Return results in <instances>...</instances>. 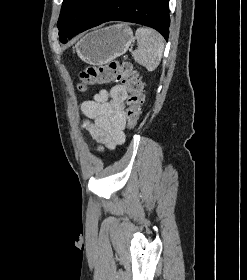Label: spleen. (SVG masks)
Instances as JSON below:
<instances>
[{
  "label": "spleen",
  "instance_id": "spleen-1",
  "mask_svg": "<svg viewBox=\"0 0 247 280\" xmlns=\"http://www.w3.org/2000/svg\"><path fill=\"white\" fill-rule=\"evenodd\" d=\"M137 49L132 53L134 60L148 71H154L163 55V37L155 30L140 27L136 30Z\"/></svg>",
  "mask_w": 247,
  "mask_h": 280
}]
</instances>
